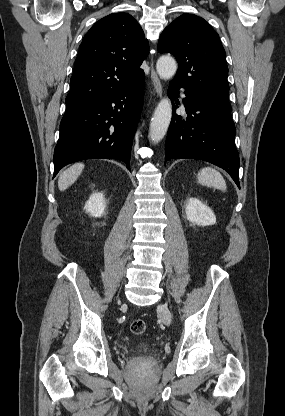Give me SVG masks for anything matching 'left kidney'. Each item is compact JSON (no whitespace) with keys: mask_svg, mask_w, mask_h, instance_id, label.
<instances>
[{"mask_svg":"<svg viewBox=\"0 0 285 416\" xmlns=\"http://www.w3.org/2000/svg\"><path fill=\"white\" fill-rule=\"evenodd\" d=\"M185 212L187 220L196 224V226H213V224H216L214 212L196 198H189Z\"/></svg>","mask_w":285,"mask_h":416,"instance_id":"left-kidney-1","label":"left kidney"}]
</instances>
